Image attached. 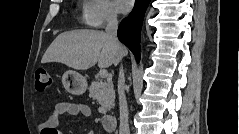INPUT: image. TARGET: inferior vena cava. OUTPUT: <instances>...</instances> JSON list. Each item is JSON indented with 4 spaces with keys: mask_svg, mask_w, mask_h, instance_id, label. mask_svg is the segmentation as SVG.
<instances>
[{
    "mask_svg": "<svg viewBox=\"0 0 239 134\" xmlns=\"http://www.w3.org/2000/svg\"><path fill=\"white\" fill-rule=\"evenodd\" d=\"M117 28L118 20L115 11H111L108 15L107 26L105 28L106 34L110 37L112 42L118 46L120 43L117 38ZM125 76L123 67H120L119 77H118V95H119V110H120V126L119 134H129V124H128V106L124 91Z\"/></svg>",
    "mask_w": 239,
    "mask_h": 134,
    "instance_id": "inferior-vena-cava-1",
    "label": "inferior vena cava"
}]
</instances>
